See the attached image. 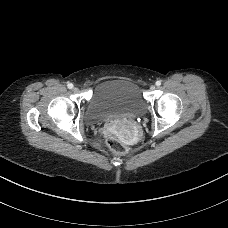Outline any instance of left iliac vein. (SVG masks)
I'll return each mask as SVG.
<instances>
[{
  "mask_svg": "<svg viewBox=\"0 0 228 228\" xmlns=\"http://www.w3.org/2000/svg\"><path fill=\"white\" fill-rule=\"evenodd\" d=\"M155 89H156V86H155V85H151V86H150V90H151V91H154Z\"/></svg>",
  "mask_w": 228,
  "mask_h": 228,
  "instance_id": "left-iliac-vein-1",
  "label": "left iliac vein"
}]
</instances>
